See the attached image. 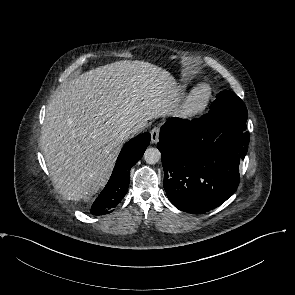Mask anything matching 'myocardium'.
Returning <instances> with one entry per match:
<instances>
[{
  "label": "myocardium",
  "mask_w": 295,
  "mask_h": 295,
  "mask_svg": "<svg viewBox=\"0 0 295 295\" xmlns=\"http://www.w3.org/2000/svg\"><path fill=\"white\" fill-rule=\"evenodd\" d=\"M212 98V88L208 84H201L186 97L180 116L184 121L191 122L198 119L206 111Z\"/></svg>",
  "instance_id": "myocardium-1"
}]
</instances>
